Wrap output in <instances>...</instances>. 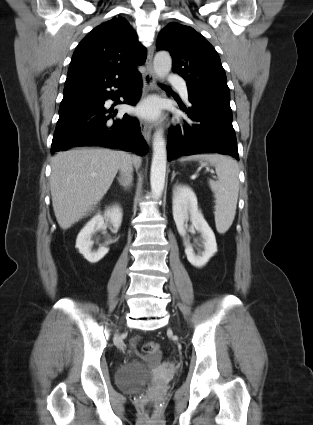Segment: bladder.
<instances>
[{
    "label": "bladder",
    "instance_id": "obj_1",
    "mask_svg": "<svg viewBox=\"0 0 313 425\" xmlns=\"http://www.w3.org/2000/svg\"><path fill=\"white\" fill-rule=\"evenodd\" d=\"M159 359L154 360L157 364ZM152 365L145 362H129L119 367L116 385L119 389L135 391L143 388L152 379Z\"/></svg>",
    "mask_w": 313,
    "mask_h": 425
}]
</instances>
